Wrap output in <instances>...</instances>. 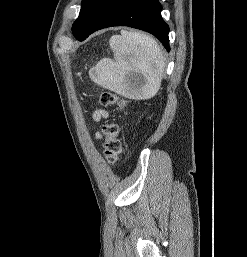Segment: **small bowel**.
I'll list each match as a JSON object with an SVG mask.
<instances>
[{"label": "small bowel", "mask_w": 247, "mask_h": 257, "mask_svg": "<svg viewBox=\"0 0 247 257\" xmlns=\"http://www.w3.org/2000/svg\"><path fill=\"white\" fill-rule=\"evenodd\" d=\"M107 114L103 110H97L94 113V119L95 120H100L101 118L105 117ZM101 135L99 133L96 134V139H100Z\"/></svg>", "instance_id": "obj_1"}]
</instances>
